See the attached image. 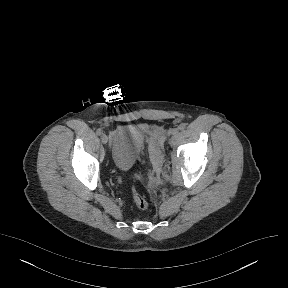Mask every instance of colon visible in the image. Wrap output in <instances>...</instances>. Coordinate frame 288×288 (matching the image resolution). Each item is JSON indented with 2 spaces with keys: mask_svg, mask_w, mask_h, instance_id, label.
Wrapping results in <instances>:
<instances>
[{
  "mask_svg": "<svg viewBox=\"0 0 288 288\" xmlns=\"http://www.w3.org/2000/svg\"><path fill=\"white\" fill-rule=\"evenodd\" d=\"M132 196H133V201L138 209L146 210L148 208L147 200L136 190L133 191Z\"/></svg>",
  "mask_w": 288,
  "mask_h": 288,
  "instance_id": "1",
  "label": "colon"
}]
</instances>
